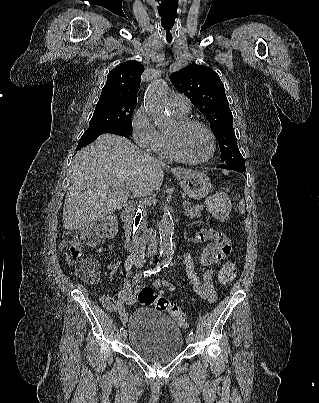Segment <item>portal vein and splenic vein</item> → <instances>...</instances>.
<instances>
[{"instance_id":"1","label":"portal vein and splenic vein","mask_w":319,"mask_h":403,"mask_svg":"<svg viewBox=\"0 0 319 403\" xmlns=\"http://www.w3.org/2000/svg\"><path fill=\"white\" fill-rule=\"evenodd\" d=\"M182 205L186 206V205H190V203L188 201H184V202H182Z\"/></svg>"}]
</instances>
